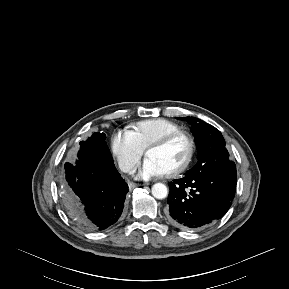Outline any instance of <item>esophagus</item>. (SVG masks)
<instances>
[{
    "mask_svg": "<svg viewBox=\"0 0 289 289\" xmlns=\"http://www.w3.org/2000/svg\"><path fill=\"white\" fill-rule=\"evenodd\" d=\"M138 186H140V184L133 183V182L129 183V188L130 189H134L135 187H138Z\"/></svg>",
    "mask_w": 289,
    "mask_h": 289,
    "instance_id": "1",
    "label": "esophagus"
}]
</instances>
